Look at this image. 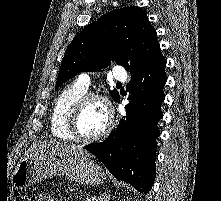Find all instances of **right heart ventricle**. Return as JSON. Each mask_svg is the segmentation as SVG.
I'll use <instances>...</instances> for the list:
<instances>
[{
  "label": "right heart ventricle",
  "instance_id": "obj_1",
  "mask_svg": "<svg viewBox=\"0 0 221 201\" xmlns=\"http://www.w3.org/2000/svg\"><path fill=\"white\" fill-rule=\"evenodd\" d=\"M86 92L87 89L74 83L58 95L50 117V127L55 137L64 141L74 140L68 129L69 116L74 104Z\"/></svg>",
  "mask_w": 221,
  "mask_h": 201
}]
</instances>
